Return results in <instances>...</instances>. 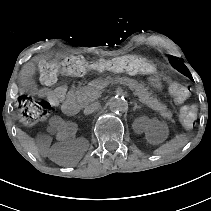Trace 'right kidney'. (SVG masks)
<instances>
[{"label":"right kidney","mask_w":211,"mask_h":211,"mask_svg":"<svg viewBox=\"0 0 211 211\" xmlns=\"http://www.w3.org/2000/svg\"><path fill=\"white\" fill-rule=\"evenodd\" d=\"M49 127L53 131H57V135L61 139H68L75 136L77 131V124L73 122L64 123V120L60 116H53L49 120Z\"/></svg>","instance_id":"ca27d5eb"}]
</instances>
